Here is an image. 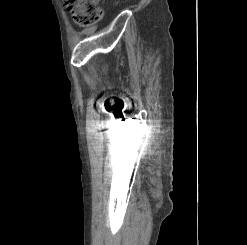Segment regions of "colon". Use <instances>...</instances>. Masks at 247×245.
Here are the masks:
<instances>
[{
	"instance_id": "obj_1",
	"label": "colon",
	"mask_w": 247,
	"mask_h": 245,
	"mask_svg": "<svg viewBox=\"0 0 247 245\" xmlns=\"http://www.w3.org/2000/svg\"><path fill=\"white\" fill-rule=\"evenodd\" d=\"M63 3L80 26H90L102 19L99 0H63Z\"/></svg>"
}]
</instances>
